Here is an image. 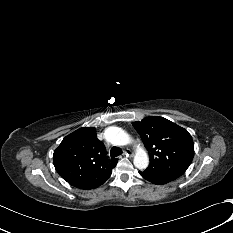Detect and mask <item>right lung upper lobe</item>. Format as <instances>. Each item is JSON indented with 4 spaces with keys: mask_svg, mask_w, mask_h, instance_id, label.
<instances>
[{
    "mask_svg": "<svg viewBox=\"0 0 233 233\" xmlns=\"http://www.w3.org/2000/svg\"><path fill=\"white\" fill-rule=\"evenodd\" d=\"M118 159L109 160L94 127H82L66 136L53 154L58 174L70 185L90 190L102 185Z\"/></svg>",
    "mask_w": 233,
    "mask_h": 233,
    "instance_id": "obj_1",
    "label": "right lung upper lobe"
}]
</instances>
